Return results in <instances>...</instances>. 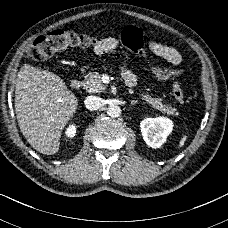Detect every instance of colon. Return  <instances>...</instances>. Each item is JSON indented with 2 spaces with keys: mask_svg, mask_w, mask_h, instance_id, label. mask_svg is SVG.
<instances>
[{
  "mask_svg": "<svg viewBox=\"0 0 228 228\" xmlns=\"http://www.w3.org/2000/svg\"><path fill=\"white\" fill-rule=\"evenodd\" d=\"M96 39L87 34L78 33L73 29H58L39 37L29 50L33 61H42L51 58L58 51L78 49L87 51ZM173 97L180 103L185 101L183 88L179 82L172 84Z\"/></svg>",
  "mask_w": 228,
  "mask_h": 228,
  "instance_id": "1",
  "label": "colon"
}]
</instances>
